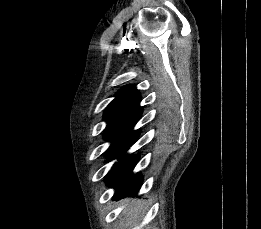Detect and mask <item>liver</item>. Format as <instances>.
I'll list each match as a JSON object with an SVG mask.
<instances>
[{
    "mask_svg": "<svg viewBox=\"0 0 261 229\" xmlns=\"http://www.w3.org/2000/svg\"><path fill=\"white\" fill-rule=\"evenodd\" d=\"M128 203L127 207H124L122 211V221L121 227H126V229H134L137 225V221H141L142 215V207L144 205L143 201H133L130 203V199H124L121 205H125Z\"/></svg>",
    "mask_w": 261,
    "mask_h": 229,
    "instance_id": "liver-1",
    "label": "liver"
}]
</instances>
